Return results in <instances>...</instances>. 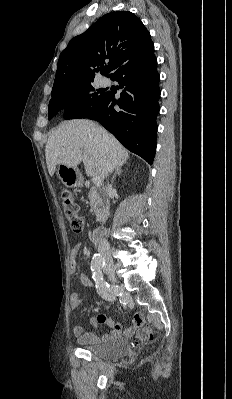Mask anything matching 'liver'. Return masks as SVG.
Returning a JSON list of instances; mask_svg holds the SVG:
<instances>
[{
	"label": "liver",
	"instance_id": "obj_1",
	"mask_svg": "<svg viewBox=\"0 0 232 399\" xmlns=\"http://www.w3.org/2000/svg\"><path fill=\"white\" fill-rule=\"evenodd\" d=\"M90 120L62 122L48 138L45 158L50 176L57 164L77 168L83 162L87 176L106 178L108 166L119 168L126 164L129 154L118 140Z\"/></svg>",
	"mask_w": 232,
	"mask_h": 399
}]
</instances>
